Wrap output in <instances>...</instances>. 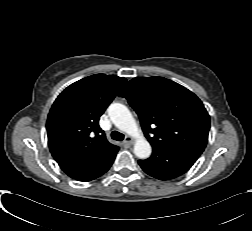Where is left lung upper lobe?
Here are the masks:
<instances>
[{
    "label": "left lung upper lobe",
    "mask_w": 252,
    "mask_h": 231,
    "mask_svg": "<svg viewBox=\"0 0 252 231\" xmlns=\"http://www.w3.org/2000/svg\"><path fill=\"white\" fill-rule=\"evenodd\" d=\"M119 96L138 114L152 146L204 151L210 118L200 99L185 87L163 77H138L130 80Z\"/></svg>",
    "instance_id": "5c2ea615"
}]
</instances>
